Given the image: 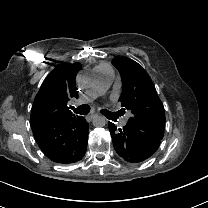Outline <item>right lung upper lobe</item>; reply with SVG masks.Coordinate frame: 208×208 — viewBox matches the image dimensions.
<instances>
[{
  "mask_svg": "<svg viewBox=\"0 0 208 208\" xmlns=\"http://www.w3.org/2000/svg\"><path fill=\"white\" fill-rule=\"evenodd\" d=\"M80 68L78 62L62 63L49 73L35 97L30 122L70 120L76 117L69 110L67 102L78 97L75 78Z\"/></svg>",
  "mask_w": 208,
  "mask_h": 208,
  "instance_id": "cb5924a9",
  "label": "right lung upper lobe"
}]
</instances>
